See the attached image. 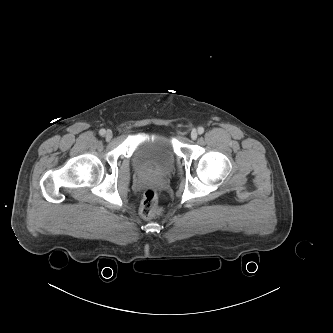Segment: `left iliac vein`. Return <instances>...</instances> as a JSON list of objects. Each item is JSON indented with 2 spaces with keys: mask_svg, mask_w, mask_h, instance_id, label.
<instances>
[{
  "mask_svg": "<svg viewBox=\"0 0 333 333\" xmlns=\"http://www.w3.org/2000/svg\"><path fill=\"white\" fill-rule=\"evenodd\" d=\"M198 134L196 130H192L191 132V139L195 140L197 138Z\"/></svg>",
  "mask_w": 333,
  "mask_h": 333,
  "instance_id": "obj_1",
  "label": "left iliac vein"
}]
</instances>
